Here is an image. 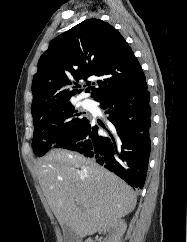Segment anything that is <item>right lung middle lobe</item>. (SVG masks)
<instances>
[{
	"instance_id": "dd1d6c3e",
	"label": "right lung middle lobe",
	"mask_w": 187,
	"mask_h": 242,
	"mask_svg": "<svg viewBox=\"0 0 187 242\" xmlns=\"http://www.w3.org/2000/svg\"><path fill=\"white\" fill-rule=\"evenodd\" d=\"M71 103L33 117V150L41 157L56 143L72 135L87 118L79 117Z\"/></svg>"
}]
</instances>
